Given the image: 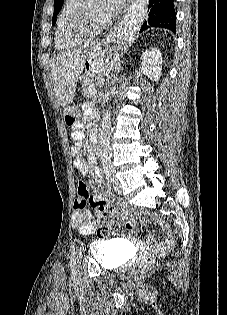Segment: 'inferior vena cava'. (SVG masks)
<instances>
[{
  "mask_svg": "<svg viewBox=\"0 0 227 315\" xmlns=\"http://www.w3.org/2000/svg\"><path fill=\"white\" fill-rule=\"evenodd\" d=\"M116 61H117V70H118V72H119V71H120V60H119V55H117V59H116ZM102 163H103V166H104V167H108V168H110V167H111V161H109V162L102 161Z\"/></svg>",
  "mask_w": 227,
  "mask_h": 315,
  "instance_id": "obj_1",
  "label": "inferior vena cava"
}]
</instances>
